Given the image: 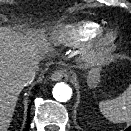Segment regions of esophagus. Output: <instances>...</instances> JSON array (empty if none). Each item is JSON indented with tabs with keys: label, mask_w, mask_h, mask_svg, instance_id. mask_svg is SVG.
<instances>
[{
	"label": "esophagus",
	"mask_w": 131,
	"mask_h": 131,
	"mask_svg": "<svg viewBox=\"0 0 131 131\" xmlns=\"http://www.w3.org/2000/svg\"><path fill=\"white\" fill-rule=\"evenodd\" d=\"M66 75H67V71L65 69H59L51 74L50 79L52 81H60Z\"/></svg>",
	"instance_id": "34e87169"
}]
</instances>
